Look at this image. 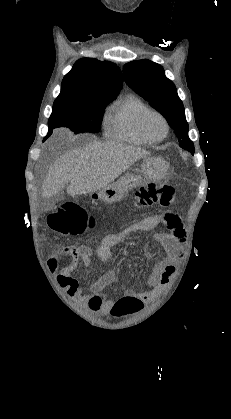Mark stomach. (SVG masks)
<instances>
[{"label": "stomach", "mask_w": 231, "mask_h": 419, "mask_svg": "<svg viewBox=\"0 0 231 419\" xmlns=\"http://www.w3.org/2000/svg\"><path fill=\"white\" fill-rule=\"evenodd\" d=\"M168 164L160 157L146 156L137 173H126L116 182L91 194L93 201L114 203L122 200L133 188L146 181H160L167 176Z\"/></svg>", "instance_id": "stomach-1"}]
</instances>
